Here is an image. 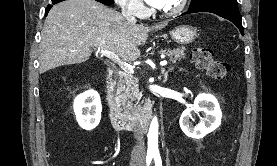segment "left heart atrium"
Listing matches in <instances>:
<instances>
[{
	"label": "left heart atrium",
	"instance_id": "1",
	"mask_svg": "<svg viewBox=\"0 0 277 166\" xmlns=\"http://www.w3.org/2000/svg\"><path fill=\"white\" fill-rule=\"evenodd\" d=\"M149 5L155 8H161L164 5L165 0H145Z\"/></svg>",
	"mask_w": 277,
	"mask_h": 166
}]
</instances>
